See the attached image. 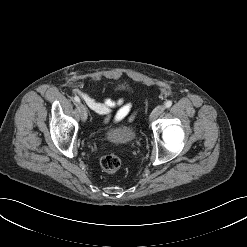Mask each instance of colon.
<instances>
[{
  "label": "colon",
  "mask_w": 247,
  "mask_h": 247,
  "mask_svg": "<svg viewBox=\"0 0 247 247\" xmlns=\"http://www.w3.org/2000/svg\"><path fill=\"white\" fill-rule=\"evenodd\" d=\"M100 165L105 172L115 173L121 166V160L115 154H108L101 158Z\"/></svg>",
  "instance_id": "colon-1"
}]
</instances>
